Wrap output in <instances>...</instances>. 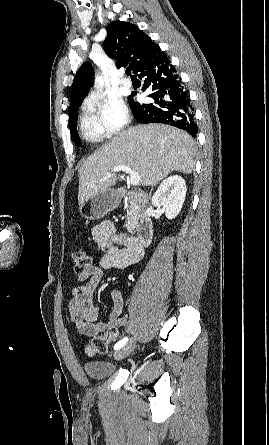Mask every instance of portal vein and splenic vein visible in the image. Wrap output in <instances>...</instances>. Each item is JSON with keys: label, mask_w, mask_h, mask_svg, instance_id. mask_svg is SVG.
Segmentation results:
<instances>
[{"label": "portal vein and splenic vein", "mask_w": 269, "mask_h": 445, "mask_svg": "<svg viewBox=\"0 0 269 445\" xmlns=\"http://www.w3.org/2000/svg\"><path fill=\"white\" fill-rule=\"evenodd\" d=\"M119 171H123V172H125V173H127V174H129L130 175V184L132 185V186H136V185H138L139 184V181H140V175L137 173V172H135L134 170H132L129 166H126V165H118V166H115L110 172H108L106 175H111V173L112 172H119Z\"/></svg>", "instance_id": "18ae733b"}]
</instances>
